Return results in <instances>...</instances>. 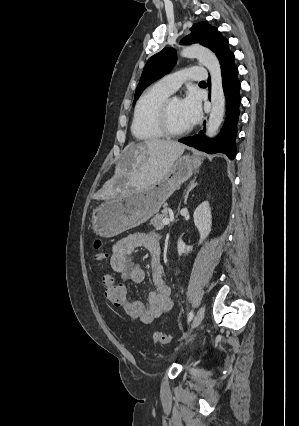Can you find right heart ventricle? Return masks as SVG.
I'll return each mask as SVG.
<instances>
[{
    "label": "right heart ventricle",
    "instance_id": "1",
    "mask_svg": "<svg viewBox=\"0 0 299 426\" xmlns=\"http://www.w3.org/2000/svg\"><path fill=\"white\" fill-rule=\"evenodd\" d=\"M160 83L150 86L139 98L135 106L131 131L140 141H155L164 134L157 125V113L163 101L170 96Z\"/></svg>",
    "mask_w": 299,
    "mask_h": 426
}]
</instances>
